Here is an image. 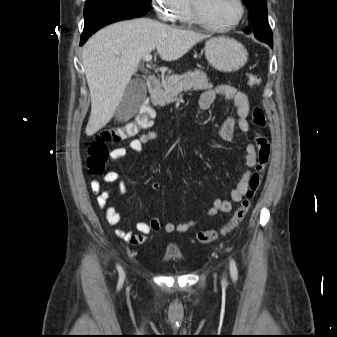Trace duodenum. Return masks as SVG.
<instances>
[{
  "label": "duodenum",
  "mask_w": 337,
  "mask_h": 337,
  "mask_svg": "<svg viewBox=\"0 0 337 337\" xmlns=\"http://www.w3.org/2000/svg\"><path fill=\"white\" fill-rule=\"evenodd\" d=\"M146 83L151 91H154L159 85V79L155 74H149L146 78Z\"/></svg>",
  "instance_id": "410a0bca"
}]
</instances>
